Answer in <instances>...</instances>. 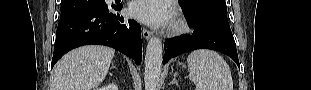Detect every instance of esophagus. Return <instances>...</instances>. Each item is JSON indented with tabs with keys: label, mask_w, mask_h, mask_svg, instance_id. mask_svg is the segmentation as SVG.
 Instances as JSON below:
<instances>
[{
	"label": "esophagus",
	"mask_w": 311,
	"mask_h": 90,
	"mask_svg": "<svg viewBox=\"0 0 311 90\" xmlns=\"http://www.w3.org/2000/svg\"><path fill=\"white\" fill-rule=\"evenodd\" d=\"M142 34L146 40L150 39V37L152 36V32L145 28L142 29Z\"/></svg>",
	"instance_id": "34e87169"
}]
</instances>
